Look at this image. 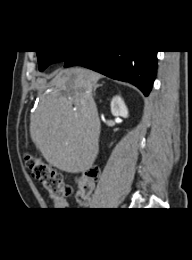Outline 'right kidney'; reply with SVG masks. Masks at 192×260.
I'll return each instance as SVG.
<instances>
[{
    "instance_id": "right-kidney-1",
    "label": "right kidney",
    "mask_w": 192,
    "mask_h": 260,
    "mask_svg": "<svg viewBox=\"0 0 192 260\" xmlns=\"http://www.w3.org/2000/svg\"><path fill=\"white\" fill-rule=\"evenodd\" d=\"M111 113L114 116L128 117V109L120 96L113 97L111 101Z\"/></svg>"
}]
</instances>
